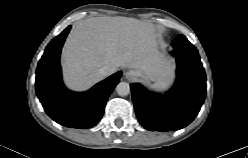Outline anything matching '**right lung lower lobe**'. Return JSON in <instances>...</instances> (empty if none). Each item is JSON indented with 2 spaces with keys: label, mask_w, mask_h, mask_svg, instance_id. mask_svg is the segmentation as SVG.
<instances>
[{
  "label": "right lung lower lobe",
  "mask_w": 248,
  "mask_h": 158,
  "mask_svg": "<svg viewBox=\"0 0 248 158\" xmlns=\"http://www.w3.org/2000/svg\"><path fill=\"white\" fill-rule=\"evenodd\" d=\"M70 28L68 26L46 47L36 71V94L54 121L66 127L86 129L95 126L102 118L106 101L118 84L121 71L87 92L67 90L61 77L60 52Z\"/></svg>",
  "instance_id": "right-lung-lower-lobe-1"
}]
</instances>
